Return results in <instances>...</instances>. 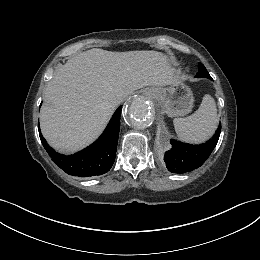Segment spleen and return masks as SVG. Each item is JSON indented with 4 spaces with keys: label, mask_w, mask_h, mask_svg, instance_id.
<instances>
[{
    "label": "spleen",
    "mask_w": 260,
    "mask_h": 260,
    "mask_svg": "<svg viewBox=\"0 0 260 260\" xmlns=\"http://www.w3.org/2000/svg\"><path fill=\"white\" fill-rule=\"evenodd\" d=\"M219 118L215 100L206 94L198 108L186 118L173 120L178 137L186 142L201 143L209 139L215 132Z\"/></svg>",
    "instance_id": "3e777b00"
}]
</instances>
